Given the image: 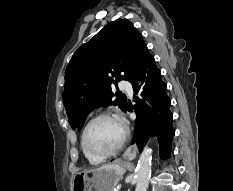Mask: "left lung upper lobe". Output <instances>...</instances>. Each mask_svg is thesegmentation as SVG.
<instances>
[{"label": "left lung upper lobe", "mask_w": 233, "mask_h": 191, "mask_svg": "<svg viewBox=\"0 0 233 191\" xmlns=\"http://www.w3.org/2000/svg\"><path fill=\"white\" fill-rule=\"evenodd\" d=\"M149 54L141 33L123 19L106 25L78 48L66 68L63 92L71 127L80 130L86 116L100 106L119 105L126 111V96L114 94L111 85L129 81Z\"/></svg>", "instance_id": "1"}]
</instances>
